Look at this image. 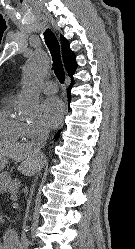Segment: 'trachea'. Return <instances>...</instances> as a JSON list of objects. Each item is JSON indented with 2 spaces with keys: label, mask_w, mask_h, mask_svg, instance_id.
Returning <instances> with one entry per match:
<instances>
[{
  "label": "trachea",
  "mask_w": 135,
  "mask_h": 249,
  "mask_svg": "<svg viewBox=\"0 0 135 249\" xmlns=\"http://www.w3.org/2000/svg\"><path fill=\"white\" fill-rule=\"evenodd\" d=\"M45 42L50 50L52 59H53V70L58 78V80L63 83L65 80V73L63 64L61 61V54H60V45L55 36V34L47 29L44 33Z\"/></svg>",
  "instance_id": "3493384b"
}]
</instances>
